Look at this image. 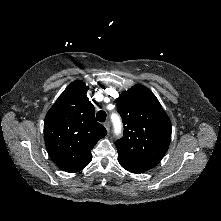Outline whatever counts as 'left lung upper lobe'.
Instances as JSON below:
<instances>
[{"label":"left lung upper lobe","instance_id":"left-lung-upper-lobe-1","mask_svg":"<svg viewBox=\"0 0 221 221\" xmlns=\"http://www.w3.org/2000/svg\"><path fill=\"white\" fill-rule=\"evenodd\" d=\"M117 111L125 125L123 138L115 143L118 156L146 170L155 167L171 140L170 119L155 95L136 85L118 97Z\"/></svg>","mask_w":221,"mask_h":221}]
</instances>
